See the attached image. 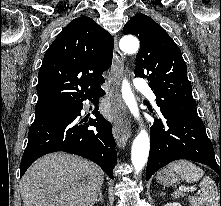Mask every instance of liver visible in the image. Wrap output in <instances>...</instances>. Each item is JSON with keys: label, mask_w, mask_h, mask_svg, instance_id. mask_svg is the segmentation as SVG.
Returning a JSON list of instances; mask_svg holds the SVG:
<instances>
[{"label": "liver", "mask_w": 221, "mask_h": 206, "mask_svg": "<svg viewBox=\"0 0 221 206\" xmlns=\"http://www.w3.org/2000/svg\"><path fill=\"white\" fill-rule=\"evenodd\" d=\"M104 181L102 169L76 155L39 158L20 182L23 206H93Z\"/></svg>", "instance_id": "6515ba94"}]
</instances>
